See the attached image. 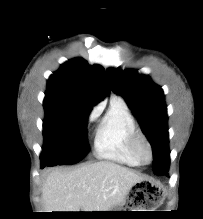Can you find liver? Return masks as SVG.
I'll list each match as a JSON object with an SVG mask.
<instances>
[{
    "label": "liver",
    "instance_id": "6515ba94",
    "mask_svg": "<svg viewBox=\"0 0 203 219\" xmlns=\"http://www.w3.org/2000/svg\"><path fill=\"white\" fill-rule=\"evenodd\" d=\"M146 178L111 161L86 164L73 170L47 171L42 202L47 212L109 211L121 205L131 188Z\"/></svg>",
    "mask_w": 203,
    "mask_h": 219
}]
</instances>
